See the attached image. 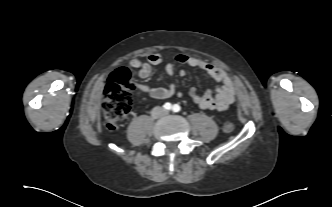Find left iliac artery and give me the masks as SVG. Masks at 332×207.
I'll list each match as a JSON object with an SVG mask.
<instances>
[{"label":"left iliac artery","mask_w":332,"mask_h":207,"mask_svg":"<svg viewBox=\"0 0 332 207\" xmlns=\"http://www.w3.org/2000/svg\"><path fill=\"white\" fill-rule=\"evenodd\" d=\"M180 110H181L180 105H178V104H174V105L172 106V111H173V112H179Z\"/></svg>","instance_id":"obj_1"}]
</instances>
